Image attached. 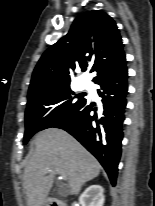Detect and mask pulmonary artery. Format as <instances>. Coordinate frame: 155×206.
Here are the masks:
<instances>
[{"mask_svg": "<svg viewBox=\"0 0 155 206\" xmlns=\"http://www.w3.org/2000/svg\"><path fill=\"white\" fill-rule=\"evenodd\" d=\"M81 86H82L83 88H88V87L90 86L89 80L83 79V80L81 81Z\"/></svg>", "mask_w": 155, "mask_h": 206, "instance_id": "1", "label": "pulmonary artery"}]
</instances>
